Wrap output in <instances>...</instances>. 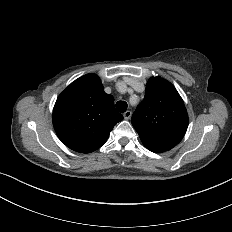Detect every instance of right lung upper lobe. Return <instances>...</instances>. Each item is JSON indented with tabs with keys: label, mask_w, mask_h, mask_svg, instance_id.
I'll use <instances>...</instances> for the list:
<instances>
[{
	"label": "right lung upper lobe",
	"mask_w": 232,
	"mask_h": 232,
	"mask_svg": "<svg viewBox=\"0 0 232 232\" xmlns=\"http://www.w3.org/2000/svg\"><path fill=\"white\" fill-rule=\"evenodd\" d=\"M123 116L114 108V98L106 94L96 74H86L72 82L57 98L53 126L59 139L70 149L91 153L108 139Z\"/></svg>",
	"instance_id": "right-lung-upper-lobe-1"
}]
</instances>
